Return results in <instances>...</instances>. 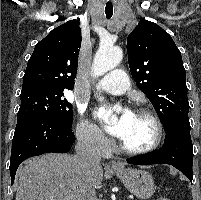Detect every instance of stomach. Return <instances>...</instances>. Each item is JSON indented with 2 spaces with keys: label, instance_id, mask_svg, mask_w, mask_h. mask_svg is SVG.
<instances>
[{
  "label": "stomach",
  "instance_id": "0dacf381",
  "mask_svg": "<svg viewBox=\"0 0 201 200\" xmlns=\"http://www.w3.org/2000/svg\"><path fill=\"white\" fill-rule=\"evenodd\" d=\"M115 174L125 187L136 197L148 199L154 193V181L152 176L145 170L139 169H114Z\"/></svg>",
  "mask_w": 201,
  "mask_h": 200
}]
</instances>
